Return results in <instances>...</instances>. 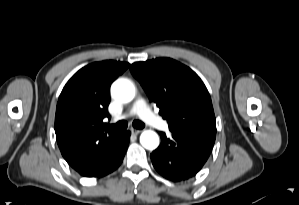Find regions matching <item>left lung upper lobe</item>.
Here are the masks:
<instances>
[{
    "mask_svg": "<svg viewBox=\"0 0 299 205\" xmlns=\"http://www.w3.org/2000/svg\"><path fill=\"white\" fill-rule=\"evenodd\" d=\"M130 70L171 131L216 135L209 92L194 71L170 58L136 62Z\"/></svg>",
    "mask_w": 299,
    "mask_h": 205,
    "instance_id": "1",
    "label": "left lung upper lobe"
}]
</instances>
